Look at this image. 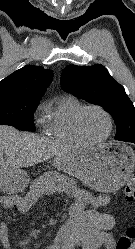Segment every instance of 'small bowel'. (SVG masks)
Returning <instances> with one entry per match:
<instances>
[{
  "label": "small bowel",
  "instance_id": "c3829d8e",
  "mask_svg": "<svg viewBox=\"0 0 135 249\" xmlns=\"http://www.w3.org/2000/svg\"><path fill=\"white\" fill-rule=\"evenodd\" d=\"M0 203L4 209L15 208L19 214L27 211L26 202L18 196L8 195L0 198ZM110 198L108 196L96 197L93 205L96 209L102 211L90 210L83 211L85 218L86 233L85 236L91 244L92 249L104 246L106 249H115L114 240L111 231L115 225V216L110 212L108 205ZM11 228L5 223L0 224V241L3 249H10L11 245ZM47 249H55L54 246Z\"/></svg>",
  "mask_w": 135,
  "mask_h": 249
}]
</instances>
